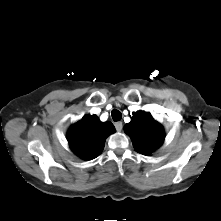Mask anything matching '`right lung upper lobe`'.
<instances>
[{
    "label": "right lung upper lobe",
    "mask_w": 221,
    "mask_h": 221,
    "mask_svg": "<svg viewBox=\"0 0 221 221\" xmlns=\"http://www.w3.org/2000/svg\"><path fill=\"white\" fill-rule=\"evenodd\" d=\"M114 132L111 122H101L96 115H86L70 128L68 142L79 157L91 160L102 152L106 137Z\"/></svg>",
    "instance_id": "cb5924a9"
}]
</instances>
